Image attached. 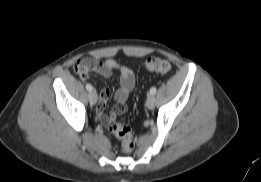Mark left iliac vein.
<instances>
[{"label":"left iliac vein","instance_id":"left-iliac-vein-1","mask_svg":"<svg viewBox=\"0 0 261 182\" xmlns=\"http://www.w3.org/2000/svg\"><path fill=\"white\" fill-rule=\"evenodd\" d=\"M146 106L148 109H153L155 107V97L153 95L148 96Z\"/></svg>","mask_w":261,"mask_h":182}]
</instances>
